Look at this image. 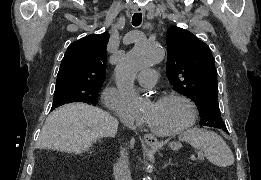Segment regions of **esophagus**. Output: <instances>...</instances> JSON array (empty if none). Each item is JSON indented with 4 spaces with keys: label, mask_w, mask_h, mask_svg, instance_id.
Returning <instances> with one entry per match:
<instances>
[{
    "label": "esophagus",
    "mask_w": 261,
    "mask_h": 180,
    "mask_svg": "<svg viewBox=\"0 0 261 180\" xmlns=\"http://www.w3.org/2000/svg\"><path fill=\"white\" fill-rule=\"evenodd\" d=\"M134 10H135V12L145 13V10L143 8L135 7ZM144 140L150 146H156L159 143L157 138L154 135H151V134H146L144 136Z\"/></svg>",
    "instance_id": "34e87169"
}]
</instances>
